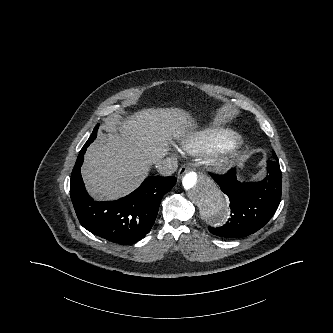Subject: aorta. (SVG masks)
I'll list each match as a JSON object with an SVG mask.
<instances>
[{"label": "aorta", "mask_w": 333, "mask_h": 333, "mask_svg": "<svg viewBox=\"0 0 333 333\" xmlns=\"http://www.w3.org/2000/svg\"><path fill=\"white\" fill-rule=\"evenodd\" d=\"M182 185L203 221L218 224L226 216V197L208 175L189 171L182 178Z\"/></svg>", "instance_id": "obj_1"}]
</instances>
